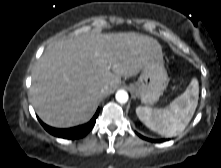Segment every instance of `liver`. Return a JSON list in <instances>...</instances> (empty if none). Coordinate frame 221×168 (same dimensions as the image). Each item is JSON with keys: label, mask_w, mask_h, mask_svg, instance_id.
I'll return each mask as SVG.
<instances>
[{"label": "liver", "mask_w": 221, "mask_h": 168, "mask_svg": "<svg viewBox=\"0 0 221 168\" xmlns=\"http://www.w3.org/2000/svg\"><path fill=\"white\" fill-rule=\"evenodd\" d=\"M159 42L135 32L87 34L49 47L32 71L31 102L46 124L69 128L86 123L99 99L113 92L121 76H136ZM107 86L104 92L102 87Z\"/></svg>", "instance_id": "liver-1"}]
</instances>
